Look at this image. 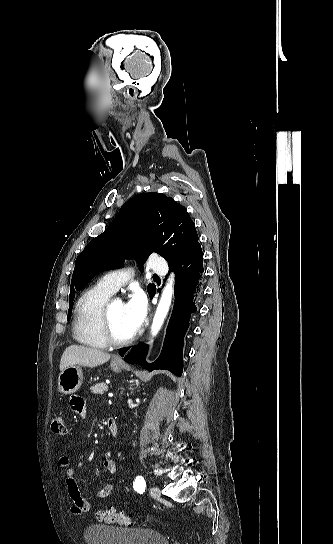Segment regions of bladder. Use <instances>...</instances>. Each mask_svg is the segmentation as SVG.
<instances>
[{
    "label": "bladder",
    "instance_id": "obj_1",
    "mask_svg": "<svg viewBox=\"0 0 333 544\" xmlns=\"http://www.w3.org/2000/svg\"><path fill=\"white\" fill-rule=\"evenodd\" d=\"M86 544H169L160 532L149 528H124L103 524L87 527L83 534Z\"/></svg>",
    "mask_w": 333,
    "mask_h": 544
}]
</instances>
